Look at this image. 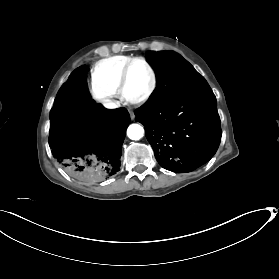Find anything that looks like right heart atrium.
Here are the masks:
<instances>
[{
  "mask_svg": "<svg viewBox=\"0 0 279 279\" xmlns=\"http://www.w3.org/2000/svg\"><path fill=\"white\" fill-rule=\"evenodd\" d=\"M92 95L94 99L102 105L108 107L111 105L113 95L101 86H92Z\"/></svg>",
  "mask_w": 279,
  "mask_h": 279,
  "instance_id": "right-heart-atrium-1",
  "label": "right heart atrium"
}]
</instances>
